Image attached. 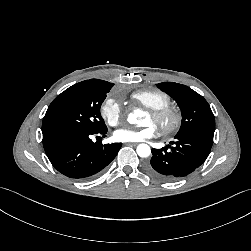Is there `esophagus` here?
Masks as SVG:
<instances>
[{
	"instance_id": "obj_1",
	"label": "esophagus",
	"mask_w": 251,
	"mask_h": 251,
	"mask_svg": "<svg viewBox=\"0 0 251 251\" xmlns=\"http://www.w3.org/2000/svg\"><path fill=\"white\" fill-rule=\"evenodd\" d=\"M138 143H133V142H128L126 143V145H129V146H136Z\"/></svg>"
}]
</instances>
